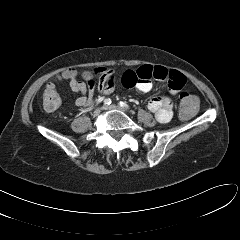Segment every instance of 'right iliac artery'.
I'll return each mask as SVG.
<instances>
[{"label":"right iliac artery","mask_w":240,"mask_h":240,"mask_svg":"<svg viewBox=\"0 0 240 240\" xmlns=\"http://www.w3.org/2000/svg\"><path fill=\"white\" fill-rule=\"evenodd\" d=\"M112 103L111 99L110 98H107L104 100V105H110Z\"/></svg>","instance_id":"right-iliac-artery-1"}]
</instances>
